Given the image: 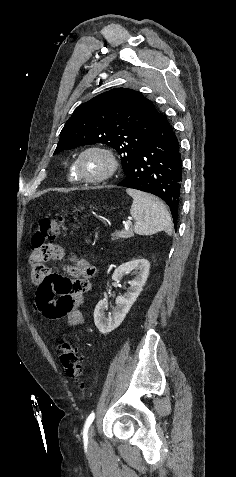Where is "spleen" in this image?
<instances>
[{
    "instance_id": "spleen-1",
    "label": "spleen",
    "mask_w": 236,
    "mask_h": 477,
    "mask_svg": "<svg viewBox=\"0 0 236 477\" xmlns=\"http://www.w3.org/2000/svg\"><path fill=\"white\" fill-rule=\"evenodd\" d=\"M133 198L130 214L135 219L134 232L138 235H151L159 231L172 234V220L164 204L155 196L126 189Z\"/></svg>"
}]
</instances>
